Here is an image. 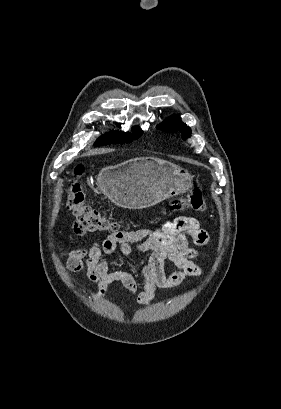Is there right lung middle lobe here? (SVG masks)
<instances>
[{
    "mask_svg": "<svg viewBox=\"0 0 281 409\" xmlns=\"http://www.w3.org/2000/svg\"><path fill=\"white\" fill-rule=\"evenodd\" d=\"M143 131L135 127L132 134H126L119 131H113L99 138L95 145H108L112 143H129L133 139H137L142 135Z\"/></svg>",
    "mask_w": 281,
    "mask_h": 409,
    "instance_id": "dd1d6c3e",
    "label": "right lung middle lobe"
}]
</instances>
